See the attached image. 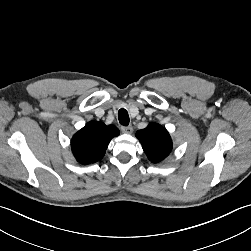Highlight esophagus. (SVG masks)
I'll return each instance as SVG.
<instances>
[{
    "label": "esophagus",
    "mask_w": 251,
    "mask_h": 251,
    "mask_svg": "<svg viewBox=\"0 0 251 251\" xmlns=\"http://www.w3.org/2000/svg\"><path fill=\"white\" fill-rule=\"evenodd\" d=\"M121 131L125 134H131L133 132L132 126H122Z\"/></svg>",
    "instance_id": "1"
}]
</instances>
